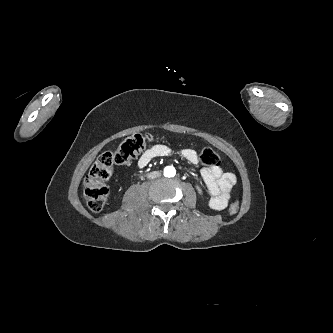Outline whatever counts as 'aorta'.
<instances>
[{"mask_svg": "<svg viewBox=\"0 0 333 333\" xmlns=\"http://www.w3.org/2000/svg\"><path fill=\"white\" fill-rule=\"evenodd\" d=\"M176 174V170L173 166H167L164 169V176L166 177H174Z\"/></svg>", "mask_w": 333, "mask_h": 333, "instance_id": "762f6f07", "label": "aorta"}]
</instances>
